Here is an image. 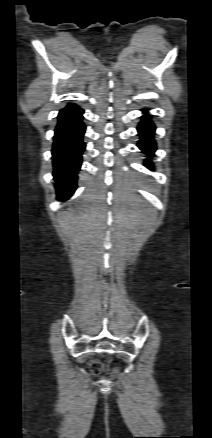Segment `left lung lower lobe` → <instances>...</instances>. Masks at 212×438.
Masks as SVG:
<instances>
[{
  "mask_svg": "<svg viewBox=\"0 0 212 438\" xmlns=\"http://www.w3.org/2000/svg\"><path fill=\"white\" fill-rule=\"evenodd\" d=\"M155 126L148 116H144L139 124L138 132L141 136L138 147L146 154L152 155L156 150L155 141L153 140ZM145 165L151 169V161L147 160Z\"/></svg>",
  "mask_w": 212,
  "mask_h": 438,
  "instance_id": "0a47b994",
  "label": "left lung lower lobe"
}]
</instances>
